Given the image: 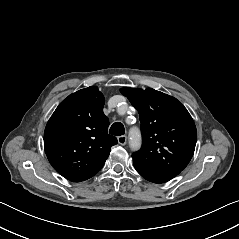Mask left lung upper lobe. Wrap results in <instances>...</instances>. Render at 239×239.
Segmentation results:
<instances>
[{
	"label": "left lung upper lobe",
	"mask_w": 239,
	"mask_h": 239,
	"mask_svg": "<svg viewBox=\"0 0 239 239\" xmlns=\"http://www.w3.org/2000/svg\"><path fill=\"white\" fill-rule=\"evenodd\" d=\"M140 114L143 145L133 162L146 168L182 171L190 162L197 141L192 117L176 98L147 88H121Z\"/></svg>",
	"instance_id": "left-lung-upper-lobe-1"
}]
</instances>
